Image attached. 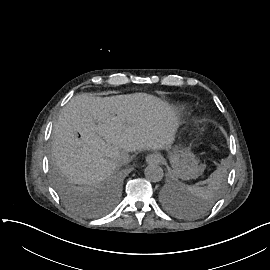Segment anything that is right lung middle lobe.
Segmentation results:
<instances>
[{
    "mask_svg": "<svg viewBox=\"0 0 270 270\" xmlns=\"http://www.w3.org/2000/svg\"><path fill=\"white\" fill-rule=\"evenodd\" d=\"M56 183H57V185H58V187H59V190H60L62 196H63L68 202L72 203L70 197L66 194V192L64 191V189H63V187H62V182H61L60 180H57Z\"/></svg>",
    "mask_w": 270,
    "mask_h": 270,
    "instance_id": "right-lung-middle-lobe-1",
    "label": "right lung middle lobe"
}]
</instances>
